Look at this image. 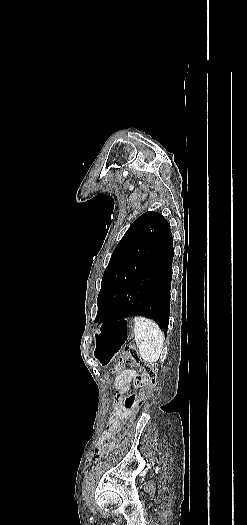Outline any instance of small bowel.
Wrapping results in <instances>:
<instances>
[{
	"label": "small bowel",
	"instance_id": "c3829d8e",
	"mask_svg": "<svg viewBox=\"0 0 247 525\" xmlns=\"http://www.w3.org/2000/svg\"><path fill=\"white\" fill-rule=\"evenodd\" d=\"M137 374V371L134 369L123 370L118 374L114 382V388L117 391L116 399L114 401L112 415L107 424V430L103 433L101 439L96 445L93 456L95 462L101 460L108 454L109 451H106L104 448V441L111 436L113 430L127 415L126 409L122 405V396L128 385L136 378Z\"/></svg>",
	"mask_w": 247,
	"mask_h": 525
}]
</instances>
